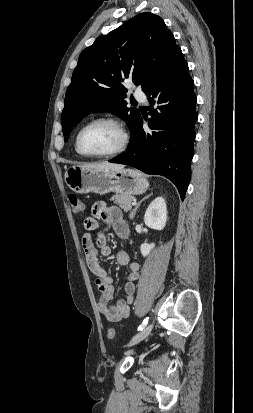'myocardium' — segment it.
Wrapping results in <instances>:
<instances>
[{
    "label": "myocardium",
    "instance_id": "1",
    "mask_svg": "<svg viewBox=\"0 0 253 413\" xmlns=\"http://www.w3.org/2000/svg\"><path fill=\"white\" fill-rule=\"evenodd\" d=\"M97 123L111 124L112 126H114L119 131V133L121 135V142L115 150L107 152V153H101V154H89V153H86L82 150V148H81L82 133L84 132V130L86 128H88L91 125L97 124ZM129 142H130V135H129L127 129L125 128V126L123 125L122 122H120L118 119H116L114 117L102 116V117H97V118H94V119L88 121L87 123H85L79 129V131L77 132L76 138H75V148H76V151L84 157H88V158H108V157H114V156H117V155L123 153L127 149L128 145H129Z\"/></svg>",
    "mask_w": 253,
    "mask_h": 413
}]
</instances>
